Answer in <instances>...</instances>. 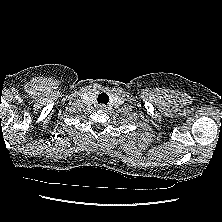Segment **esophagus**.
Listing matches in <instances>:
<instances>
[{
    "instance_id": "obj_1",
    "label": "esophagus",
    "mask_w": 222,
    "mask_h": 222,
    "mask_svg": "<svg viewBox=\"0 0 222 222\" xmlns=\"http://www.w3.org/2000/svg\"><path fill=\"white\" fill-rule=\"evenodd\" d=\"M99 108H100L101 110H105V109H106V106H105L104 104H102V105L99 106Z\"/></svg>"
}]
</instances>
